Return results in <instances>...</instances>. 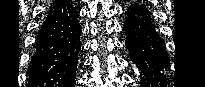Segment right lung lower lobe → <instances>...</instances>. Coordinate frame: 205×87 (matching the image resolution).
<instances>
[{
  "label": "right lung lower lobe",
  "mask_w": 205,
  "mask_h": 87,
  "mask_svg": "<svg viewBox=\"0 0 205 87\" xmlns=\"http://www.w3.org/2000/svg\"><path fill=\"white\" fill-rule=\"evenodd\" d=\"M78 17L71 0L55 1L49 8L28 67L29 87H74L81 50Z\"/></svg>",
  "instance_id": "obj_1"
}]
</instances>
